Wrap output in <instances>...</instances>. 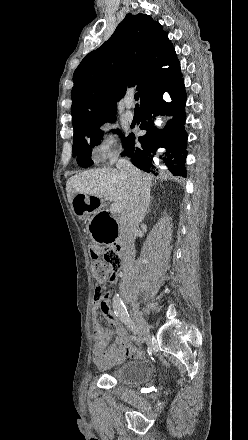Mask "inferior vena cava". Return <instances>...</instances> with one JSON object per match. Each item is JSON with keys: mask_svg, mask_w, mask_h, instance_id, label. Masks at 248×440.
Segmentation results:
<instances>
[{"mask_svg": "<svg viewBox=\"0 0 248 440\" xmlns=\"http://www.w3.org/2000/svg\"><path fill=\"white\" fill-rule=\"evenodd\" d=\"M119 172L128 176L134 183V194L129 204L125 207L120 218V228L122 230L126 247L121 257V265L124 276L123 282L131 276V263L134 259V242L143 221L150 202V188L142 172L132 165V163L120 158L117 163Z\"/></svg>", "mask_w": 248, "mask_h": 440, "instance_id": "1", "label": "inferior vena cava"}]
</instances>
